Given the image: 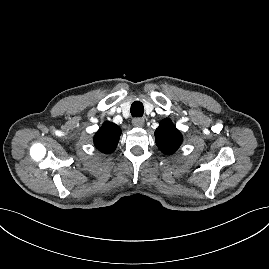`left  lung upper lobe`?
Masks as SVG:
<instances>
[{"label":"left lung upper lobe","mask_w":269,"mask_h":269,"mask_svg":"<svg viewBox=\"0 0 269 269\" xmlns=\"http://www.w3.org/2000/svg\"><path fill=\"white\" fill-rule=\"evenodd\" d=\"M155 139L158 148L166 155L173 154L182 144V135L168 118L160 122L155 130Z\"/></svg>","instance_id":"obj_1"}]
</instances>
